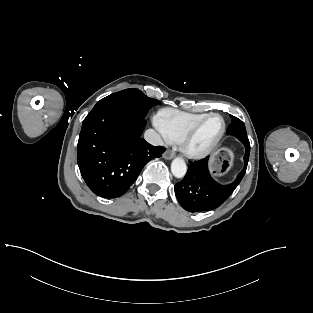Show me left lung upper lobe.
I'll use <instances>...</instances> for the list:
<instances>
[{"label": "left lung upper lobe", "mask_w": 313, "mask_h": 313, "mask_svg": "<svg viewBox=\"0 0 313 313\" xmlns=\"http://www.w3.org/2000/svg\"><path fill=\"white\" fill-rule=\"evenodd\" d=\"M230 116L232 118V122L227 129V134L228 135L246 134L244 123L237 117H234L232 115Z\"/></svg>", "instance_id": "1"}]
</instances>
